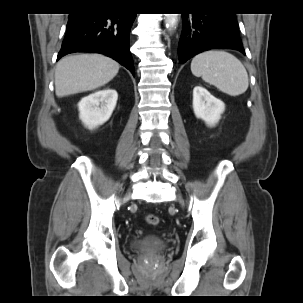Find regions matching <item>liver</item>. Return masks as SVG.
Returning <instances> with one entry per match:
<instances>
[{
  "label": "liver",
  "mask_w": 303,
  "mask_h": 303,
  "mask_svg": "<svg viewBox=\"0 0 303 303\" xmlns=\"http://www.w3.org/2000/svg\"><path fill=\"white\" fill-rule=\"evenodd\" d=\"M119 64L100 54L69 55L62 58L55 70V93L64 97L97 89L111 81Z\"/></svg>",
  "instance_id": "1"
}]
</instances>
